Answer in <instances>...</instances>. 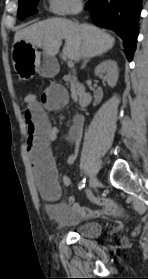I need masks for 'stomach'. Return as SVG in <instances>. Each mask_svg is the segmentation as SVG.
Instances as JSON below:
<instances>
[{"label":"stomach","mask_w":148,"mask_h":279,"mask_svg":"<svg viewBox=\"0 0 148 279\" xmlns=\"http://www.w3.org/2000/svg\"><path fill=\"white\" fill-rule=\"evenodd\" d=\"M15 71L21 78L31 75L52 76L58 70L57 60L41 53L37 48L25 41H19L14 45L11 55Z\"/></svg>","instance_id":"stomach-1"}]
</instances>
